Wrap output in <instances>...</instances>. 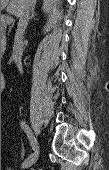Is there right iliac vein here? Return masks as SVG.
Masks as SVG:
<instances>
[{
  "instance_id": "right-iliac-vein-1",
  "label": "right iliac vein",
  "mask_w": 109,
  "mask_h": 170,
  "mask_svg": "<svg viewBox=\"0 0 109 170\" xmlns=\"http://www.w3.org/2000/svg\"><path fill=\"white\" fill-rule=\"evenodd\" d=\"M30 136H31V139L34 141L35 149H34L33 154L23 163L22 168H28L31 165H33L37 161L38 156H39L38 141H37L35 135L33 134V132H31V131H30Z\"/></svg>"
}]
</instances>
